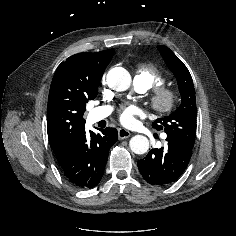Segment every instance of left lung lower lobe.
<instances>
[{"mask_svg":"<svg viewBox=\"0 0 236 236\" xmlns=\"http://www.w3.org/2000/svg\"><path fill=\"white\" fill-rule=\"evenodd\" d=\"M166 141L165 147L150 150L145 158L137 162L143 178L151 185L162 186L176 181L190 161L192 150L170 139Z\"/></svg>","mask_w":236,"mask_h":236,"instance_id":"obj_1","label":"left lung lower lobe"}]
</instances>
